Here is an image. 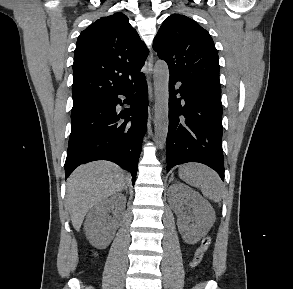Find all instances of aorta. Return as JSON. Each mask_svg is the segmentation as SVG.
Segmentation results:
<instances>
[{"label": "aorta", "instance_id": "obj_1", "mask_svg": "<svg viewBox=\"0 0 293 289\" xmlns=\"http://www.w3.org/2000/svg\"><path fill=\"white\" fill-rule=\"evenodd\" d=\"M155 90L154 130L156 144L162 148L168 133L169 69L164 61H158L153 70Z\"/></svg>", "mask_w": 293, "mask_h": 289}]
</instances>
